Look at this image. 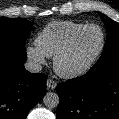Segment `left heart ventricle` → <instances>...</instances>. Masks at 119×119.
I'll use <instances>...</instances> for the list:
<instances>
[{
    "label": "left heart ventricle",
    "mask_w": 119,
    "mask_h": 119,
    "mask_svg": "<svg viewBox=\"0 0 119 119\" xmlns=\"http://www.w3.org/2000/svg\"><path fill=\"white\" fill-rule=\"evenodd\" d=\"M100 43L101 33L98 29L90 28L84 31L62 61L63 68L75 69L87 63L99 49Z\"/></svg>",
    "instance_id": "obj_1"
}]
</instances>
